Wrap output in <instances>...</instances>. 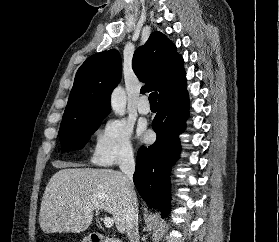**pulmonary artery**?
<instances>
[{
  "mask_svg": "<svg viewBox=\"0 0 279 242\" xmlns=\"http://www.w3.org/2000/svg\"><path fill=\"white\" fill-rule=\"evenodd\" d=\"M137 109L138 112L142 115H146L150 112V106L147 103V98L145 96L139 98L137 103Z\"/></svg>",
  "mask_w": 279,
  "mask_h": 242,
  "instance_id": "e3ab8cb5",
  "label": "pulmonary artery"
}]
</instances>
